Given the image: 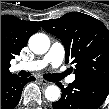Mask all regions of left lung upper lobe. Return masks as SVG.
Returning <instances> with one entry per match:
<instances>
[{
	"label": "left lung upper lobe",
	"mask_w": 109,
	"mask_h": 109,
	"mask_svg": "<svg viewBox=\"0 0 109 109\" xmlns=\"http://www.w3.org/2000/svg\"><path fill=\"white\" fill-rule=\"evenodd\" d=\"M40 24L61 39L65 62L75 66L76 79L109 87V31L101 21L84 13L70 12Z\"/></svg>",
	"instance_id": "left-lung-upper-lobe-1"
}]
</instances>
